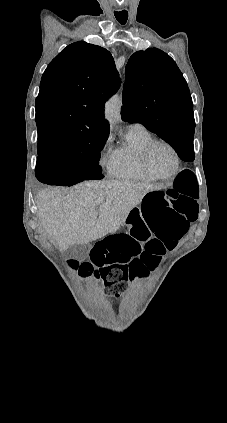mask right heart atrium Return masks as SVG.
Returning <instances> with one entry per match:
<instances>
[{
    "instance_id": "obj_1",
    "label": "right heart atrium",
    "mask_w": 227,
    "mask_h": 423,
    "mask_svg": "<svg viewBox=\"0 0 227 423\" xmlns=\"http://www.w3.org/2000/svg\"><path fill=\"white\" fill-rule=\"evenodd\" d=\"M112 148L110 139H106L99 153V165L102 169L110 172L112 165Z\"/></svg>"
}]
</instances>
